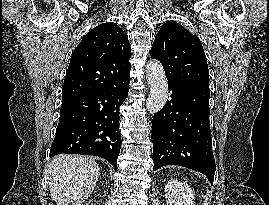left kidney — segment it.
Listing matches in <instances>:
<instances>
[{
  "instance_id": "obj_1",
  "label": "left kidney",
  "mask_w": 269,
  "mask_h": 205,
  "mask_svg": "<svg viewBox=\"0 0 269 205\" xmlns=\"http://www.w3.org/2000/svg\"><path fill=\"white\" fill-rule=\"evenodd\" d=\"M164 191L167 205H194V193L188 184L170 180Z\"/></svg>"
}]
</instances>
